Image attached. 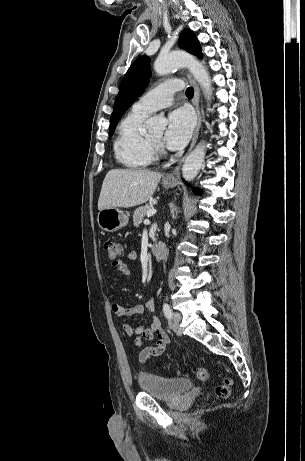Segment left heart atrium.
Segmentation results:
<instances>
[{
	"label": "left heart atrium",
	"instance_id": "obj_1",
	"mask_svg": "<svg viewBox=\"0 0 305 461\" xmlns=\"http://www.w3.org/2000/svg\"><path fill=\"white\" fill-rule=\"evenodd\" d=\"M194 128V116L187 108L172 111L168 117V126L164 136L167 148L179 150L189 141Z\"/></svg>",
	"mask_w": 305,
	"mask_h": 461
}]
</instances>
